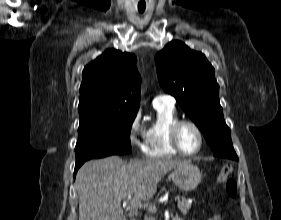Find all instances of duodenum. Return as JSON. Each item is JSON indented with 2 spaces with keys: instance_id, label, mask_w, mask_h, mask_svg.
<instances>
[{
  "instance_id": "obj_1",
  "label": "duodenum",
  "mask_w": 281,
  "mask_h": 220,
  "mask_svg": "<svg viewBox=\"0 0 281 220\" xmlns=\"http://www.w3.org/2000/svg\"><path fill=\"white\" fill-rule=\"evenodd\" d=\"M174 220H182V219H180V218H176V219H174Z\"/></svg>"
}]
</instances>
